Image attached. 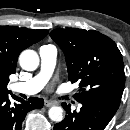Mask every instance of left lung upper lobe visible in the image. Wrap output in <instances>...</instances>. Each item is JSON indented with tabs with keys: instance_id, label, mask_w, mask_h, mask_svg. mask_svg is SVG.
Returning <instances> with one entry per match:
<instances>
[{
	"instance_id": "left-lung-upper-lobe-1",
	"label": "left lung upper lobe",
	"mask_w": 130,
	"mask_h": 130,
	"mask_svg": "<svg viewBox=\"0 0 130 130\" xmlns=\"http://www.w3.org/2000/svg\"><path fill=\"white\" fill-rule=\"evenodd\" d=\"M50 36L64 52L68 79L79 83L74 98L102 100L118 108L125 74L115 42L98 31L77 28L55 29Z\"/></svg>"
}]
</instances>
